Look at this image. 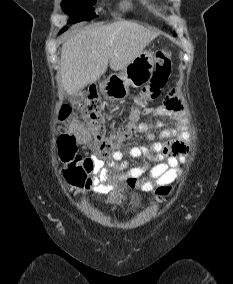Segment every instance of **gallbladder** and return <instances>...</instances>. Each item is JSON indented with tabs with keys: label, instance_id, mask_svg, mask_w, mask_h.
<instances>
[{
	"label": "gallbladder",
	"instance_id": "obj_1",
	"mask_svg": "<svg viewBox=\"0 0 233 284\" xmlns=\"http://www.w3.org/2000/svg\"><path fill=\"white\" fill-rule=\"evenodd\" d=\"M86 97H87V91L81 89L77 94L71 97V102L73 104H80L83 101H85Z\"/></svg>",
	"mask_w": 233,
	"mask_h": 284
}]
</instances>
